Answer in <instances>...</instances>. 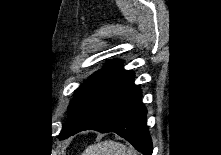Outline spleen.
Here are the masks:
<instances>
[{"label": "spleen", "mask_w": 221, "mask_h": 155, "mask_svg": "<svg viewBox=\"0 0 221 155\" xmlns=\"http://www.w3.org/2000/svg\"><path fill=\"white\" fill-rule=\"evenodd\" d=\"M82 155H136V152L120 142L105 140L88 146Z\"/></svg>", "instance_id": "1"}]
</instances>
